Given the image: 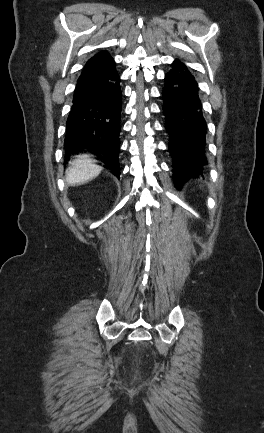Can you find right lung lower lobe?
I'll return each instance as SVG.
<instances>
[{"label": "right lung lower lobe", "instance_id": "1", "mask_svg": "<svg viewBox=\"0 0 264 433\" xmlns=\"http://www.w3.org/2000/svg\"><path fill=\"white\" fill-rule=\"evenodd\" d=\"M121 90L115 62L99 52L85 64L66 122V156L87 149L119 177Z\"/></svg>", "mask_w": 264, "mask_h": 433}]
</instances>
